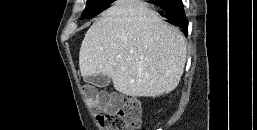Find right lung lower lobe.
Listing matches in <instances>:
<instances>
[{"mask_svg":"<svg viewBox=\"0 0 257 130\" xmlns=\"http://www.w3.org/2000/svg\"><path fill=\"white\" fill-rule=\"evenodd\" d=\"M151 3L162 9L160 14L167 19L168 23L180 27L186 33L188 32V21L181 0H165Z\"/></svg>","mask_w":257,"mask_h":130,"instance_id":"98d812e1","label":"right lung lower lobe"}]
</instances>
